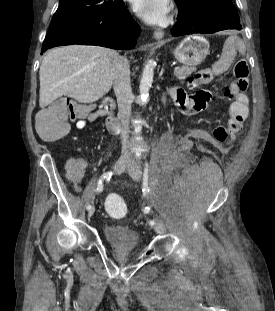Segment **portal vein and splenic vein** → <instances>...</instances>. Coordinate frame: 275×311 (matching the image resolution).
<instances>
[{"mask_svg":"<svg viewBox=\"0 0 275 311\" xmlns=\"http://www.w3.org/2000/svg\"><path fill=\"white\" fill-rule=\"evenodd\" d=\"M179 69L177 67L174 68V73H177Z\"/></svg>","mask_w":275,"mask_h":311,"instance_id":"18ae733b","label":"portal vein and splenic vein"}]
</instances>
